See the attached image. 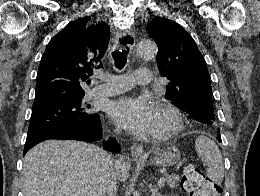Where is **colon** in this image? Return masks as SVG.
Returning <instances> with one entry per match:
<instances>
[{
  "label": "colon",
  "mask_w": 260,
  "mask_h": 196,
  "mask_svg": "<svg viewBox=\"0 0 260 196\" xmlns=\"http://www.w3.org/2000/svg\"><path fill=\"white\" fill-rule=\"evenodd\" d=\"M209 178L192 162H186L183 167V186L188 192H197L205 189Z\"/></svg>",
  "instance_id": "colon-1"
}]
</instances>
